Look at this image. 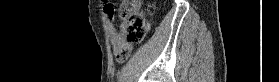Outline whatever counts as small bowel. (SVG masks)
<instances>
[{"label": "small bowel", "mask_w": 279, "mask_h": 82, "mask_svg": "<svg viewBox=\"0 0 279 82\" xmlns=\"http://www.w3.org/2000/svg\"><path fill=\"white\" fill-rule=\"evenodd\" d=\"M105 18L107 29L109 32V40L112 46V50L116 55V58L119 62L125 60L123 57V52L126 48H129L125 40V34L122 28V25L116 27L114 20V11L113 8L107 3L105 4Z\"/></svg>", "instance_id": "c3829d8e"}]
</instances>
